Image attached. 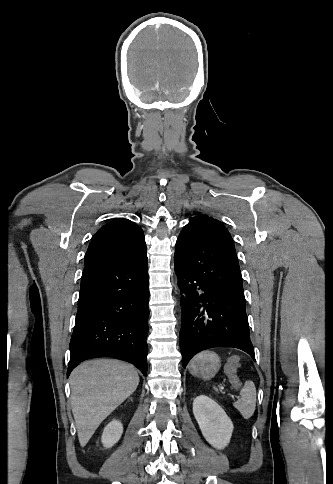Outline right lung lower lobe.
I'll use <instances>...</instances> for the list:
<instances>
[{
    "mask_svg": "<svg viewBox=\"0 0 333 484\" xmlns=\"http://www.w3.org/2000/svg\"><path fill=\"white\" fill-rule=\"evenodd\" d=\"M148 300L146 249L128 259L86 264L67 375L78 363L98 357L128 361L146 375Z\"/></svg>",
    "mask_w": 333,
    "mask_h": 484,
    "instance_id": "obj_1",
    "label": "right lung lower lobe"
}]
</instances>
